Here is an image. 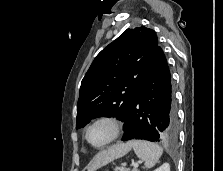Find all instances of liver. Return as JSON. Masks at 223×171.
Segmentation results:
<instances>
[{"instance_id": "1", "label": "liver", "mask_w": 223, "mask_h": 171, "mask_svg": "<svg viewBox=\"0 0 223 171\" xmlns=\"http://www.w3.org/2000/svg\"><path fill=\"white\" fill-rule=\"evenodd\" d=\"M131 147L132 146L130 142L118 143L108 148L107 150L99 152L88 165V171H96L100 167L112 162L113 160L123 157L131 150Z\"/></svg>"}]
</instances>
